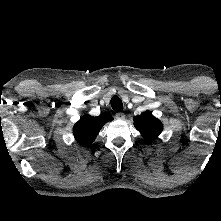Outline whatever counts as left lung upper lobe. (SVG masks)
Listing matches in <instances>:
<instances>
[{
	"mask_svg": "<svg viewBox=\"0 0 221 221\" xmlns=\"http://www.w3.org/2000/svg\"><path fill=\"white\" fill-rule=\"evenodd\" d=\"M135 128L148 141L156 139L163 130L160 120L155 118L151 113H142L133 118Z\"/></svg>",
	"mask_w": 221,
	"mask_h": 221,
	"instance_id": "1",
	"label": "left lung upper lobe"
}]
</instances>
